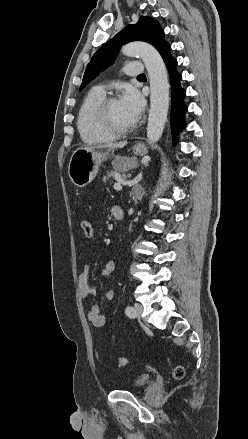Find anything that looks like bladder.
Instances as JSON below:
<instances>
[{
  "label": "bladder",
  "instance_id": "obj_1",
  "mask_svg": "<svg viewBox=\"0 0 248 439\" xmlns=\"http://www.w3.org/2000/svg\"><path fill=\"white\" fill-rule=\"evenodd\" d=\"M151 377L147 373H142L138 375L132 383L129 385V389H138L143 387L144 385L148 384Z\"/></svg>",
  "mask_w": 248,
  "mask_h": 439
}]
</instances>
